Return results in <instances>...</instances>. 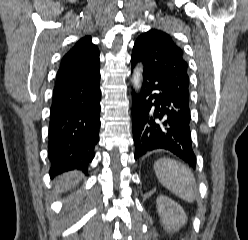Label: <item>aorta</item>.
Masks as SVG:
<instances>
[{"mask_svg": "<svg viewBox=\"0 0 248 240\" xmlns=\"http://www.w3.org/2000/svg\"><path fill=\"white\" fill-rule=\"evenodd\" d=\"M132 82H133L134 88L138 90L140 88V84H141V73H140V70L138 68L134 72Z\"/></svg>", "mask_w": 248, "mask_h": 240, "instance_id": "1", "label": "aorta"}]
</instances>
